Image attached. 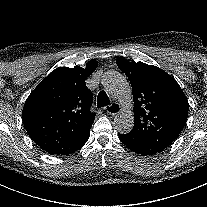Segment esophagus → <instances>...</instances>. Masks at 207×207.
<instances>
[{
	"label": "esophagus",
	"mask_w": 207,
	"mask_h": 207,
	"mask_svg": "<svg viewBox=\"0 0 207 207\" xmlns=\"http://www.w3.org/2000/svg\"><path fill=\"white\" fill-rule=\"evenodd\" d=\"M123 108L120 104L118 103H114L112 104L108 109H107V113L113 116H118L122 113Z\"/></svg>",
	"instance_id": "1"
}]
</instances>
